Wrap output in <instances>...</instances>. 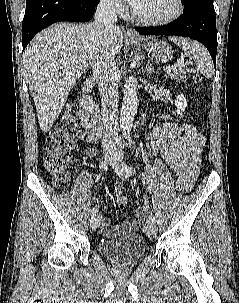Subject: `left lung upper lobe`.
<instances>
[{
	"instance_id": "5c2ea615",
	"label": "left lung upper lobe",
	"mask_w": 239,
	"mask_h": 303,
	"mask_svg": "<svg viewBox=\"0 0 239 303\" xmlns=\"http://www.w3.org/2000/svg\"><path fill=\"white\" fill-rule=\"evenodd\" d=\"M200 1H211L212 0H183L184 3V9L191 7L192 5L197 4Z\"/></svg>"
}]
</instances>
